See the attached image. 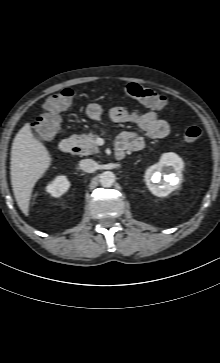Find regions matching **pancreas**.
I'll return each instance as SVG.
<instances>
[{"instance_id": "cf45deb5", "label": "pancreas", "mask_w": 220, "mask_h": 363, "mask_svg": "<svg viewBox=\"0 0 220 363\" xmlns=\"http://www.w3.org/2000/svg\"><path fill=\"white\" fill-rule=\"evenodd\" d=\"M77 139L85 155H92L99 152V148L96 143V135L92 133L82 134L78 135Z\"/></svg>"}]
</instances>
